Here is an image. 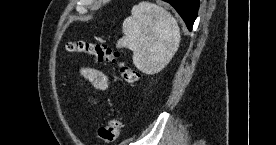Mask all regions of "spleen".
I'll list each match as a JSON object with an SVG mask.
<instances>
[{"instance_id": "spleen-1", "label": "spleen", "mask_w": 276, "mask_h": 145, "mask_svg": "<svg viewBox=\"0 0 276 145\" xmlns=\"http://www.w3.org/2000/svg\"><path fill=\"white\" fill-rule=\"evenodd\" d=\"M118 48L133 52V63L146 74L162 71L177 52L181 35L176 19L163 7L142 1L122 26Z\"/></svg>"}]
</instances>
